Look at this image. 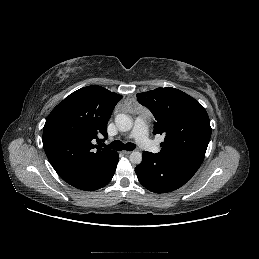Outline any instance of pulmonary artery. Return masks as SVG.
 Segmentation results:
<instances>
[{"mask_svg": "<svg viewBox=\"0 0 259 259\" xmlns=\"http://www.w3.org/2000/svg\"><path fill=\"white\" fill-rule=\"evenodd\" d=\"M129 137L134 138L140 147L147 150L153 149V144L148 138L147 125L143 118L138 117L135 120L134 127Z\"/></svg>", "mask_w": 259, "mask_h": 259, "instance_id": "pulmonary-artery-1", "label": "pulmonary artery"}]
</instances>
